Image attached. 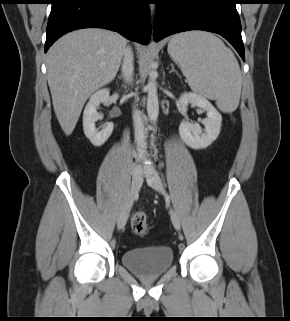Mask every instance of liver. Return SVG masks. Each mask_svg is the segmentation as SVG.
<instances>
[{
	"mask_svg": "<svg viewBox=\"0 0 290 321\" xmlns=\"http://www.w3.org/2000/svg\"><path fill=\"white\" fill-rule=\"evenodd\" d=\"M126 43L116 32L87 28L67 33L50 47L47 80L66 135L73 132L87 99L115 78Z\"/></svg>",
	"mask_w": 290,
	"mask_h": 321,
	"instance_id": "1",
	"label": "liver"
}]
</instances>
